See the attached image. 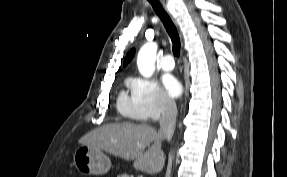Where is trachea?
Segmentation results:
<instances>
[{
  "instance_id": "obj_1",
  "label": "trachea",
  "mask_w": 287,
  "mask_h": 177,
  "mask_svg": "<svg viewBox=\"0 0 287 177\" xmlns=\"http://www.w3.org/2000/svg\"><path fill=\"white\" fill-rule=\"evenodd\" d=\"M148 2L152 5L156 14L160 17L167 33L169 34V36L172 40L173 54L175 56L179 57L181 44H180V38H179V34H178L176 26L174 25L171 18L169 17V15L164 10V8L161 5V3L159 2V0H148Z\"/></svg>"
}]
</instances>
